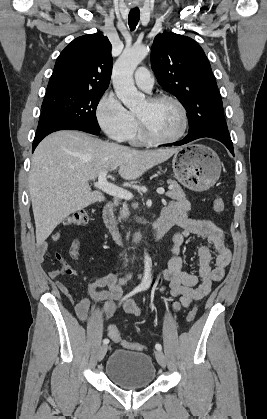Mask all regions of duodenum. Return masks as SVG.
<instances>
[{"instance_id": "duodenum-1", "label": "duodenum", "mask_w": 267, "mask_h": 419, "mask_svg": "<svg viewBox=\"0 0 267 419\" xmlns=\"http://www.w3.org/2000/svg\"><path fill=\"white\" fill-rule=\"evenodd\" d=\"M103 221L112 237L117 241H122V234L115 219V206L112 202L107 203L102 211ZM173 223L166 217H160L153 227L152 236L155 241L159 240L171 227Z\"/></svg>"}]
</instances>
